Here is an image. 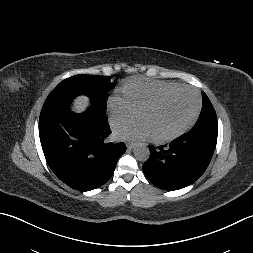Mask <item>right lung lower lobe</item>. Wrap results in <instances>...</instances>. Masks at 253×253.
<instances>
[{
    "instance_id": "right-lung-lower-lobe-1",
    "label": "right lung lower lobe",
    "mask_w": 253,
    "mask_h": 253,
    "mask_svg": "<svg viewBox=\"0 0 253 253\" xmlns=\"http://www.w3.org/2000/svg\"><path fill=\"white\" fill-rule=\"evenodd\" d=\"M69 101L43 105L39 136L43 153L53 173L79 191L100 187L112 176L124 143H107L111 133L105 112L92 106L83 114H74Z\"/></svg>"
}]
</instances>
